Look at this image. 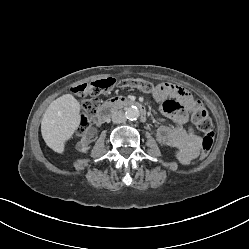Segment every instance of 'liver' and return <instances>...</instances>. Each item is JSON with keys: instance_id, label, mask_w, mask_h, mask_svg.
<instances>
[{"instance_id": "1", "label": "liver", "mask_w": 249, "mask_h": 249, "mask_svg": "<svg viewBox=\"0 0 249 249\" xmlns=\"http://www.w3.org/2000/svg\"><path fill=\"white\" fill-rule=\"evenodd\" d=\"M80 103L71 94L54 100L41 121V134L48 147L63 154L65 143L80 125Z\"/></svg>"}]
</instances>
